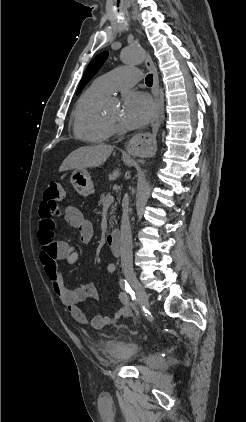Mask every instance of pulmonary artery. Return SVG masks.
<instances>
[{
    "label": "pulmonary artery",
    "instance_id": "1",
    "mask_svg": "<svg viewBox=\"0 0 246 422\" xmlns=\"http://www.w3.org/2000/svg\"><path fill=\"white\" fill-rule=\"evenodd\" d=\"M140 80V71L131 67H120L94 80L93 86L105 93L131 87Z\"/></svg>",
    "mask_w": 246,
    "mask_h": 422
}]
</instances>
